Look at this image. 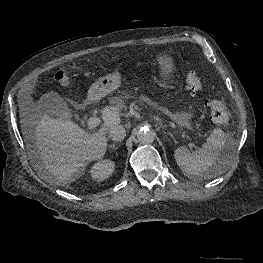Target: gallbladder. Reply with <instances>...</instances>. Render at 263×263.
Listing matches in <instances>:
<instances>
[{"mask_svg": "<svg viewBox=\"0 0 263 263\" xmlns=\"http://www.w3.org/2000/svg\"><path fill=\"white\" fill-rule=\"evenodd\" d=\"M40 111L54 119H67L70 110L64 99L55 92H48L41 96L38 102Z\"/></svg>", "mask_w": 263, "mask_h": 263, "instance_id": "gallbladder-1", "label": "gallbladder"}]
</instances>
